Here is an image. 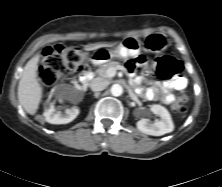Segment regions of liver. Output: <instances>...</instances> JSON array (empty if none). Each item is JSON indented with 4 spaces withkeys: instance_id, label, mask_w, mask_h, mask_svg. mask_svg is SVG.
I'll list each match as a JSON object with an SVG mask.
<instances>
[{
    "instance_id": "1",
    "label": "liver",
    "mask_w": 222,
    "mask_h": 187,
    "mask_svg": "<svg viewBox=\"0 0 222 187\" xmlns=\"http://www.w3.org/2000/svg\"><path fill=\"white\" fill-rule=\"evenodd\" d=\"M114 43H97L85 46V50H95L101 47H111ZM40 54L32 57L24 67L22 77L18 85V99L25 111L35 114L42 96V88L37 80V64Z\"/></svg>"
}]
</instances>
